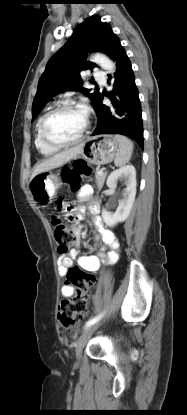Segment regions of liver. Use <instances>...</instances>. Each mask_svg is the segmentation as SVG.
I'll list each match as a JSON object with an SVG mask.
<instances>
[{
  "label": "liver",
  "mask_w": 187,
  "mask_h": 415,
  "mask_svg": "<svg viewBox=\"0 0 187 415\" xmlns=\"http://www.w3.org/2000/svg\"><path fill=\"white\" fill-rule=\"evenodd\" d=\"M82 147L83 144H80L45 159L34 168L31 179L40 173L58 168L71 159L76 158V156L82 151Z\"/></svg>",
  "instance_id": "6515ba94"
}]
</instances>
